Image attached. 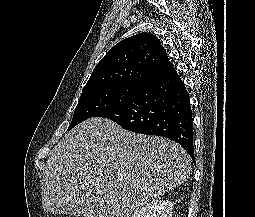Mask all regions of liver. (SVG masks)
<instances>
[{
    "label": "liver",
    "instance_id": "6515ba94",
    "mask_svg": "<svg viewBox=\"0 0 255 217\" xmlns=\"http://www.w3.org/2000/svg\"><path fill=\"white\" fill-rule=\"evenodd\" d=\"M191 170L190 156L176 142L90 118L48 158L43 207L75 217H130L184 183Z\"/></svg>",
    "mask_w": 255,
    "mask_h": 217
}]
</instances>
